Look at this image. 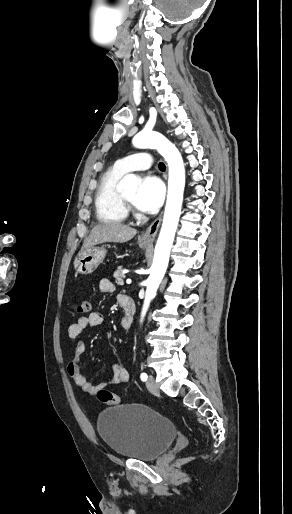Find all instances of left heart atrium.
<instances>
[{
	"mask_svg": "<svg viewBox=\"0 0 292 514\" xmlns=\"http://www.w3.org/2000/svg\"><path fill=\"white\" fill-rule=\"evenodd\" d=\"M164 194L165 188L161 179L155 175H146L136 193L135 205L144 212L154 213L161 206Z\"/></svg>",
	"mask_w": 292,
	"mask_h": 514,
	"instance_id": "obj_1",
	"label": "left heart atrium"
}]
</instances>
